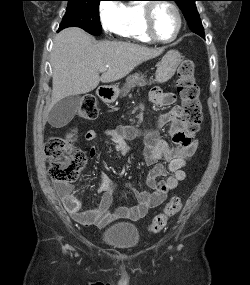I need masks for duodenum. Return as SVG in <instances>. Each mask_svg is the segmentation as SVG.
<instances>
[{"instance_id": "duodenum-1", "label": "duodenum", "mask_w": 250, "mask_h": 285, "mask_svg": "<svg viewBox=\"0 0 250 285\" xmlns=\"http://www.w3.org/2000/svg\"><path fill=\"white\" fill-rule=\"evenodd\" d=\"M98 95L104 102H109L112 98V91L107 87H99L98 88Z\"/></svg>"}]
</instances>
